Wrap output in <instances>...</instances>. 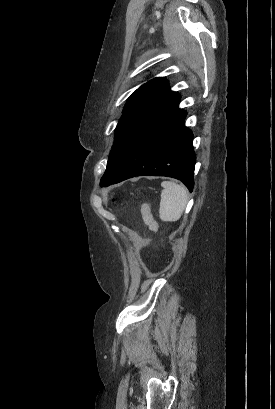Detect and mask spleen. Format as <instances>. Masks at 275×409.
<instances>
[{
	"mask_svg": "<svg viewBox=\"0 0 275 409\" xmlns=\"http://www.w3.org/2000/svg\"><path fill=\"white\" fill-rule=\"evenodd\" d=\"M161 186L159 217L161 221H178L187 205V188L172 180H163Z\"/></svg>",
	"mask_w": 275,
	"mask_h": 409,
	"instance_id": "obj_1",
	"label": "spleen"
}]
</instances>
